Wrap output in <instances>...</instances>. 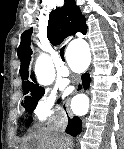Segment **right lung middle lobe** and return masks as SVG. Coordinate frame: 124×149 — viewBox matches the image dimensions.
<instances>
[{
    "label": "right lung middle lobe",
    "mask_w": 124,
    "mask_h": 149,
    "mask_svg": "<svg viewBox=\"0 0 124 149\" xmlns=\"http://www.w3.org/2000/svg\"><path fill=\"white\" fill-rule=\"evenodd\" d=\"M24 95L28 94V96L25 97V109L28 111V113H32V111L35 109L38 100L43 96L44 89L41 87H23Z\"/></svg>",
    "instance_id": "dd1d6c3e"
}]
</instances>
